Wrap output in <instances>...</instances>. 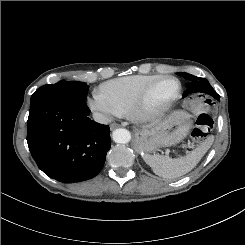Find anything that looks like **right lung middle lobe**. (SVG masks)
<instances>
[{
    "mask_svg": "<svg viewBox=\"0 0 245 245\" xmlns=\"http://www.w3.org/2000/svg\"><path fill=\"white\" fill-rule=\"evenodd\" d=\"M87 83L61 80L56 84L44 85L31 96L30 106L49 98H60L71 102H85L89 90Z\"/></svg>",
    "mask_w": 245,
    "mask_h": 245,
    "instance_id": "dd1d6c3e",
    "label": "right lung middle lobe"
}]
</instances>
